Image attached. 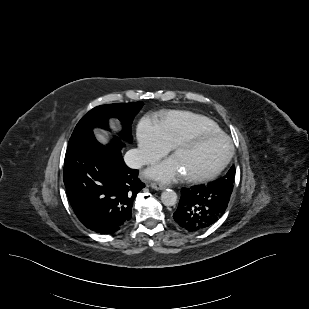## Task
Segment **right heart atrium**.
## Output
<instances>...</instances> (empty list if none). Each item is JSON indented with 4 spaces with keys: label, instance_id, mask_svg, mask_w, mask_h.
I'll return each mask as SVG.
<instances>
[{
    "label": "right heart atrium",
    "instance_id": "right-heart-atrium-1",
    "mask_svg": "<svg viewBox=\"0 0 309 309\" xmlns=\"http://www.w3.org/2000/svg\"><path fill=\"white\" fill-rule=\"evenodd\" d=\"M138 158L141 164H150L165 156L172 145L161 129L149 119H142L137 127Z\"/></svg>",
    "mask_w": 309,
    "mask_h": 309
}]
</instances>
